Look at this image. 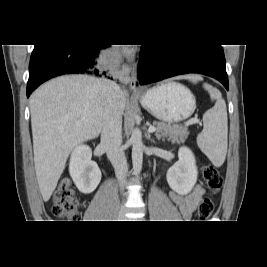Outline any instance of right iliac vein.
Here are the masks:
<instances>
[{
	"label": "right iliac vein",
	"instance_id": "63e3f726",
	"mask_svg": "<svg viewBox=\"0 0 267 267\" xmlns=\"http://www.w3.org/2000/svg\"><path fill=\"white\" fill-rule=\"evenodd\" d=\"M118 219L121 220V221L125 219V214H124V212L121 211V212L119 213V215H118Z\"/></svg>",
	"mask_w": 267,
	"mask_h": 267
}]
</instances>
